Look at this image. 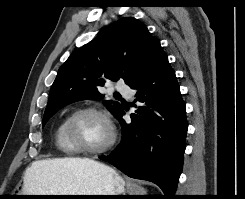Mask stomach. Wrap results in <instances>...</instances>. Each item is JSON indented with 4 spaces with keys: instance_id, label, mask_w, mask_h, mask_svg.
I'll list each match as a JSON object with an SVG mask.
<instances>
[{
    "instance_id": "0dacf381",
    "label": "stomach",
    "mask_w": 245,
    "mask_h": 199,
    "mask_svg": "<svg viewBox=\"0 0 245 199\" xmlns=\"http://www.w3.org/2000/svg\"><path fill=\"white\" fill-rule=\"evenodd\" d=\"M52 184L57 188L55 193L39 195H123L126 182L114 169L102 164L99 167L90 166L70 174L55 175ZM25 188L14 195H32ZM34 195V194H33ZM38 195V194H37ZM38 199H81L100 198L96 196L80 197H37Z\"/></svg>"
}]
</instances>
